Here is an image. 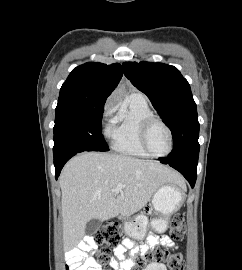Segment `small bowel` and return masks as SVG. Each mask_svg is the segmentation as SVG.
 <instances>
[{"label":"small bowel","instance_id":"obj_1","mask_svg":"<svg viewBox=\"0 0 242 270\" xmlns=\"http://www.w3.org/2000/svg\"><path fill=\"white\" fill-rule=\"evenodd\" d=\"M173 248V241L166 235L156 236L150 233L146 238V243L137 245L129 239L123 242L114 250L115 258L111 260V265L120 268V270H129L134 264V257L144 256L149 250L157 246ZM95 248V243L91 237H86L76 248L67 254V263L71 270H102L101 266L92 257H87V253ZM126 251L130 252V257H126ZM145 270H167L162 263H150Z\"/></svg>","mask_w":242,"mask_h":270}]
</instances>
